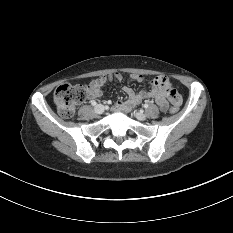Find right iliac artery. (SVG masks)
Masks as SVG:
<instances>
[{
    "label": "right iliac artery",
    "mask_w": 233,
    "mask_h": 233,
    "mask_svg": "<svg viewBox=\"0 0 233 233\" xmlns=\"http://www.w3.org/2000/svg\"><path fill=\"white\" fill-rule=\"evenodd\" d=\"M91 104L95 106L97 103L95 101H92Z\"/></svg>",
    "instance_id": "82829eb1"
}]
</instances>
